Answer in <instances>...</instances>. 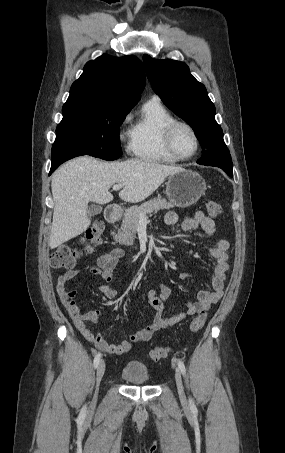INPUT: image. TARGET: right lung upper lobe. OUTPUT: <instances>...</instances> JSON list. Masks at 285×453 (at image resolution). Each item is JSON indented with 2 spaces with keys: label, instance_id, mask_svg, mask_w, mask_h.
<instances>
[{
  "label": "right lung upper lobe",
  "instance_id": "cb5924a9",
  "mask_svg": "<svg viewBox=\"0 0 285 453\" xmlns=\"http://www.w3.org/2000/svg\"><path fill=\"white\" fill-rule=\"evenodd\" d=\"M70 89L66 104H99L131 110L146 84L144 67L135 56L104 54L87 62Z\"/></svg>",
  "mask_w": 285,
  "mask_h": 453
}]
</instances>
